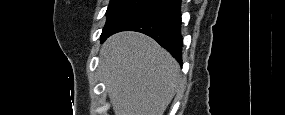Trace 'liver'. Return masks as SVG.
<instances>
[{
	"label": "liver",
	"instance_id": "1",
	"mask_svg": "<svg viewBox=\"0 0 285 115\" xmlns=\"http://www.w3.org/2000/svg\"><path fill=\"white\" fill-rule=\"evenodd\" d=\"M99 71L115 115H163L180 84V66L152 38L121 32L100 50Z\"/></svg>",
	"mask_w": 285,
	"mask_h": 115
}]
</instances>
